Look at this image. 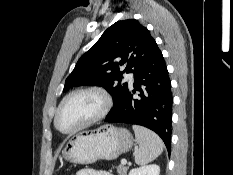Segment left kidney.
<instances>
[{"instance_id": "obj_1", "label": "left kidney", "mask_w": 233, "mask_h": 175, "mask_svg": "<svg viewBox=\"0 0 233 175\" xmlns=\"http://www.w3.org/2000/svg\"><path fill=\"white\" fill-rule=\"evenodd\" d=\"M160 167L156 164H150L139 168H134L129 175H159Z\"/></svg>"}]
</instances>
